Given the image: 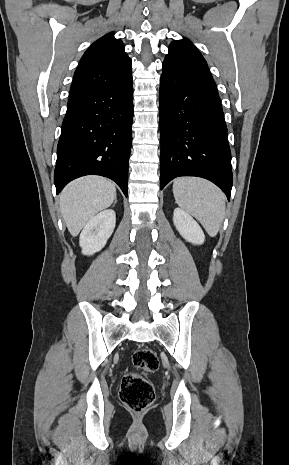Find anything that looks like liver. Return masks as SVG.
Listing matches in <instances>:
<instances>
[{"label":"liver","instance_id":"1","mask_svg":"<svg viewBox=\"0 0 289 465\" xmlns=\"http://www.w3.org/2000/svg\"><path fill=\"white\" fill-rule=\"evenodd\" d=\"M115 198V184L103 177L87 176L69 183L60 194V210L70 234L77 236Z\"/></svg>","mask_w":289,"mask_h":465}]
</instances>
